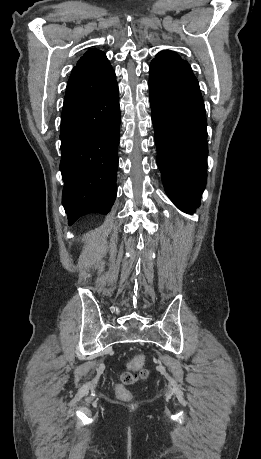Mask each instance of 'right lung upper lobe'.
<instances>
[{"label": "right lung upper lobe", "mask_w": 261, "mask_h": 459, "mask_svg": "<svg viewBox=\"0 0 261 459\" xmlns=\"http://www.w3.org/2000/svg\"><path fill=\"white\" fill-rule=\"evenodd\" d=\"M115 82L114 70L105 54L97 49L87 51L68 80L62 114L97 98Z\"/></svg>", "instance_id": "1"}]
</instances>
